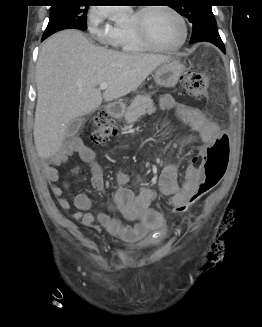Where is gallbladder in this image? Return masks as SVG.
Wrapping results in <instances>:
<instances>
[{
    "instance_id": "1",
    "label": "gallbladder",
    "mask_w": 262,
    "mask_h": 327,
    "mask_svg": "<svg viewBox=\"0 0 262 327\" xmlns=\"http://www.w3.org/2000/svg\"><path fill=\"white\" fill-rule=\"evenodd\" d=\"M82 124H83L82 118H75L72 121H70L66 129V135L68 137L74 136L79 131Z\"/></svg>"
}]
</instances>
